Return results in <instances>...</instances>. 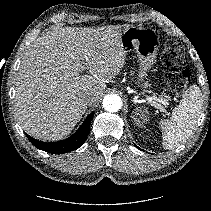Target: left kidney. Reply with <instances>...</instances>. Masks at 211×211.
Here are the masks:
<instances>
[{
	"label": "left kidney",
	"mask_w": 211,
	"mask_h": 211,
	"mask_svg": "<svg viewBox=\"0 0 211 211\" xmlns=\"http://www.w3.org/2000/svg\"><path fill=\"white\" fill-rule=\"evenodd\" d=\"M144 113V112H143ZM141 118H143L144 119V121L146 120L147 121V117H146V115L145 114H142V117ZM139 122V121H138Z\"/></svg>",
	"instance_id": "5707ae66"
}]
</instances>
